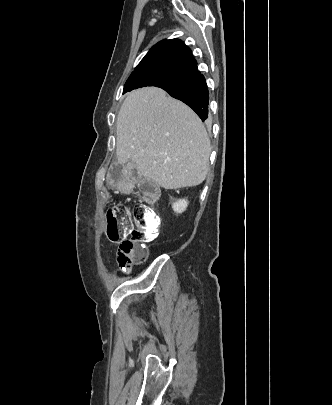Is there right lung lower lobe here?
I'll return each instance as SVG.
<instances>
[{"label": "right lung lower lobe", "instance_id": "98d812e1", "mask_svg": "<svg viewBox=\"0 0 332 405\" xmlns=\"http://www.w3.org/2000/svg\"><path fill=\"white\" fill-rule=\"evenodd\" d=\"M172 97L191 107L202 121L208 117L209 92L202 74H195L182 81L163 87Z\"/></svg>", "mask_w": 332, "mask_h": 405}]
</instances>
